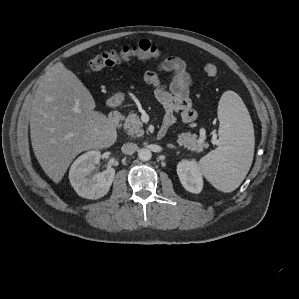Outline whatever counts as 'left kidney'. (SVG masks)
Wrapping results in <instances>:
<instances>
[{"mask_svg":"<svg viewBox=\"0 0 299 299\" xmlns=\"http://www.w3.org/2000/svg\"><path fill=\"white\" fill-rule=\"evenodd\" d=\"M177 174L183 187L192 193H200L203 188L202 173L194 160H182L177 165Z\"/></svg>","mask_w":299,"mask_h":299,"instance_id":"left-kidney-1","label":"left kidney"}]
</instances>
